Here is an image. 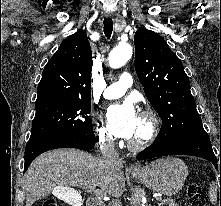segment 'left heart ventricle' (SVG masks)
<instances>
[{"label": "left heart ventricle", "mask_w": 221, "mask_h": 206, "mask_svg": "<svg viewBox=\"0 0 221 206\" xmlns=\"http://www.w3.org/2000/svg\"><path fill=\"white\" fill-rule=\"evenodd\" d=\"M145 132H146V123L143 121L142 118H140L138 129L131 140L136 141L141 139L144 136Z\"/></svg>", "instance_id": "b2bd125f"}]
</instances>
